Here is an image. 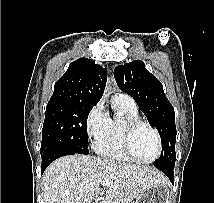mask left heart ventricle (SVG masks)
Returning <instances> with one entry per match:
<instances>
[{"label":"left heart ventricle","mask_w":214,"mask_h":203,"mask_svg":"<svg viewBox=\"0 0 214 203\" xmlns=\"http://www.w3.org/2000/svg\"><path fill=\"white\" fill-rule=\"evenodd\" d=\"M132 150L141 160H151L156 155V138L149 128L140 127L135 131L132 138Z\"/></svg>","instance_id":"left-heart-ventricle-1"}]
</instances>
